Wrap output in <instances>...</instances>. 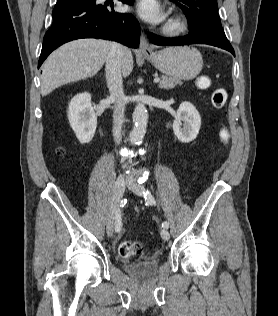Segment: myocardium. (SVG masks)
I'll use <instances>...</instances> for the list:
<instances>
[{"label": "myocardium", "instance_id": "f54148a6", "mask_svg": "<svg viewBox=\"0 0 278 316\" xmlns=\"http://www.w3.org/2000/svg\"><path fill=\"white\" fill-rule=\"evenodd\" d=\"M187 29L186 21L179 15H172L163 27V32L167 35H179Z\"/></svg>", "mask_w": 278, "mask_h": 316}]
</instances>
